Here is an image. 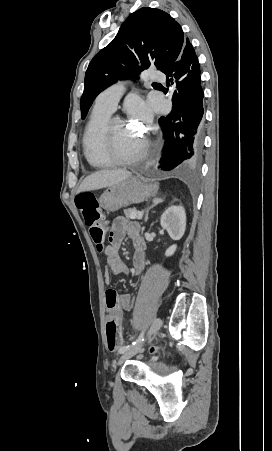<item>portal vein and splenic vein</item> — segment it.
<instances>
[{
	"mask_svg": "<svg viewBox=\"0 0 272 451\" xmlns=\"http://www.w3.org/2000/svg\"><path fill=\"white\" fill-rule=\"evenodd\" d=\"M130 218H131V220H135V218H138V220H141V216H137L136 212H132Z\"/></svg>",
	"mask_w": 272,
	"mask_h": 451,
	"instance_id": "obj_1",
	"label": "portal vein and splenic vein"
}]
</instances>
